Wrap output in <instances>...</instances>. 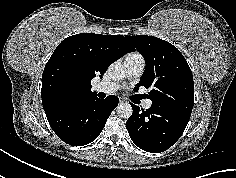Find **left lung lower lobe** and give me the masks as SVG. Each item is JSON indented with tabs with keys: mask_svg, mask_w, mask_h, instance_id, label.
I'll return each instance as SVG.
<instances>
[{
	"mask_svg": "<svg viewBox=\"0 0 236 178\" xmlns=\"http://www.w3.org/2000/svg\"><path fill=\"white\" fill-rule=\"evenodd\" d=\"M130 104L133 114L126 122L130 138L137 147L150 153L163 152L175 144L191 115L155 104L147 110Z\"/></svg>",
	"mask_w": 236,
	"mask_h": 178,
	"instance_id": "obj_1",
	"label": "left lung lower lobe"
}]
</instances>
